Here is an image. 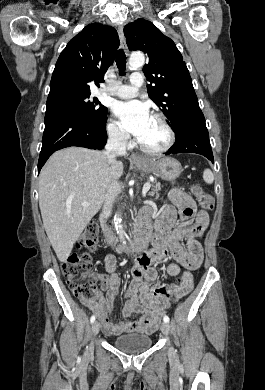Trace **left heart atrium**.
<instances>
[{"instance_id": "left-heart-atrium-1", "label": "left heart atrium", "mask_w": 265, "mask_h": 390, "mask_svg": "<svg viewBox=\"0 0 265 390\" xmlns=\"http://www.w3.org/2000/svg\"><path fill=\"white\" fill-rule=\"evenodd\" d=\"M114 113L125 131L138 139L145 132L151 119L147 106L140 101L118 102Z\"/></svg>"}]
</instances>
